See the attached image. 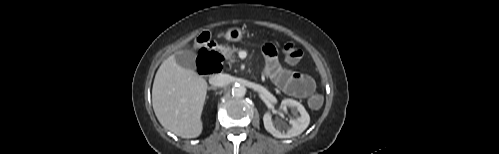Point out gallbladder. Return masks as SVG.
<instances>
[{"mask_svg": "<svg viewBox=\"0 0 499 154\" xmlns=\"http://www.w3.org/2000/svg\"><path fill=\"white\" fill-rule=\"evenodd\" d=\"M196 54L192 51H178L175 53V60L178 65L188 69H195Z\"/></svg>", "mask_w": 499, "mask_h": 154, "instance_id": "gallbladder-1", "label": "gallbladder"}]
</instances>
